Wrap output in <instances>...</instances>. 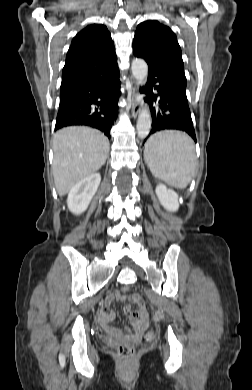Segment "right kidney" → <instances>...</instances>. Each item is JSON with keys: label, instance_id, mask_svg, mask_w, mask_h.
Masks as SVG:
<instances>
[{"label": "right kidney", "instance_id": "ca27d5eb", "mask_svg": "<svg viewBox=\"0 0 252 390\" xmlns=\"http://www.w3.org/2000/svg\"><path fill=\"white\" fill-rule=\"evenodd\" d=\"M100 181V174L93 173L80 180L71 188L68 194L67 204L72 213L78 215L87 209L91 199L98 189Z\"/></svg>", "mask_w": 252, "mask_h": 390}]
</instances>
